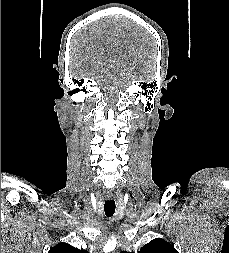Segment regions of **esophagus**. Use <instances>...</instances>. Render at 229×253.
<instances>
[{
	"label": "esophagus",
	"mask_w": 229,
	"mask_h": 253,
	"mask_svg": "<svg viewBox=\"0 0 229 253\" xmlns=\"http://www.w3.org/2000/svg\"><path fill=\"white\" fill-rule=\"evenodd\" d=\"M107 198H108V199H112V196L109 195Z\"/></svg>",
	"instance_id": "1"
}]
</instances>
